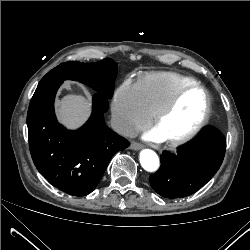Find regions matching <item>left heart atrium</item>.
<instances>
[{"mask_svg":"<svg viewBox=\"0 0 250 250\" xmlns=\"http://www.w3.org/2000/svg\"><path fill=\"white\" fill-rule=\"evenodd\" d=\"M149 137L152 138V139H155V140L160 139V138H159L158 136H156L155 134H150Z\"/></svg>","mask_w":250,"mask_h":250,"instance_id":"obj_1","label":"left heart atrium"}]
</instances>
